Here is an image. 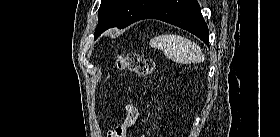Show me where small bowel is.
I'll return each mask as SVG.
<instances>
[{"instance_id": "obj_1", "label": "small bowel", "mask_w": 280, "mask_h": 137, "mask_svg": "<svg viewBox=\"0 0 280 137\" xmlns=\"http://www.w3.org/2000/svg\"><path fill=\"white\" fill-rule=\"evenodd\" d=\"M139 117L138 109L133 105H126L125 106V118L123 120V125L132 127Z\"/></svg>"}]
</instances>
